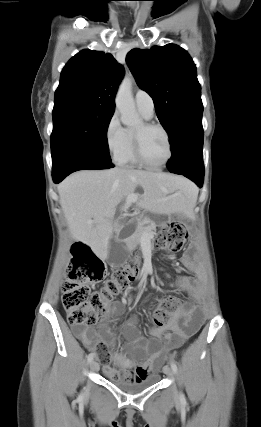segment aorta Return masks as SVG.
<instances>
[{
	"instance_id": "obj_1",
	"label": "aorta",
	"mask_w": 261,
	"mask_h": 427,
	"mask_svg": "<svg viewBox=\"0 0 261 427\" xmlns=\"http://www.w3.org/2000/svg\"><path fill=\"white\" fill-rule=\"evenodd\" d=\"M116 108L120 112L121 122L129 127H137L142 120L136 112L132 95V78L125 76L122 80L115 98Z\"/></svg>"
}]
</instances>
